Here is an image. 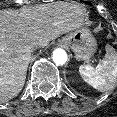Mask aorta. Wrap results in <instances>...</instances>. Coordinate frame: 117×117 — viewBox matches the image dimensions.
Here are the masks:
<instances>
[{"instance_id": "obj_1", "label": "aorta", "mask_w": 117, "mask_h": 117, "mask_svg": "<svg viewBox=\"0 0 117 117\" xmlns=\"http://www.w3.org/2000/svg\"><path fill=\"white\" fill-rule=\"evenodd\" d=\"M52 59L57 65H63L67 61V53L61 48L55 49L52 54Z\"/></svg>"}]
</instances>
